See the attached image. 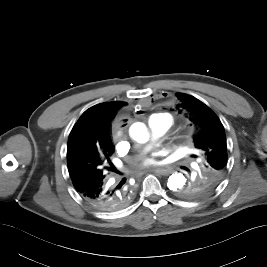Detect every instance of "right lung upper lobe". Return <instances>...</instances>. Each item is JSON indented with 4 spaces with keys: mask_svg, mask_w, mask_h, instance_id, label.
Instances as JSON below:
<instances>
[{
    "mask_svg": "<svg viewBox=\"0 0 267 267\" xmlns=\"http://www.w3.org/2000/svg\"><path fill=\"white\" fill-rule=\"evenodd\" d=\"M123 104L122 101L101 103L86 110L69 135L67 157H81L96 149H114L109 128L113 114Z\"/></svg>",
    "mask_w": 267,
    "mask_h": 267,
    "instance_id": "obj_1",
    "label": "right lung upper lobe"
}]
</instances>
